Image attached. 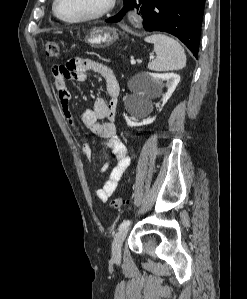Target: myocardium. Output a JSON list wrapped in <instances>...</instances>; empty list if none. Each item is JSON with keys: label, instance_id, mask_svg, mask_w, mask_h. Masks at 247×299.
Returning <instances> with one entry per match:
<instances>
[{"label": "myocardium", "instance_id": "1", "mask_svg": "<svg viewBox=\"0 0 247 299\" xmlns=\"http://www.w3.org/2000/svg\"><path fill=\"white\" fill-rule=\"evenodd\" d=\"M59 0H54L53 5H52V11L54 16L60 20L61 22L67 23V24H77V23H83V22H88V21H93L96 19H99L106 15L113 7L115 4V0H105L103 5L94 13L74 18V19H66L61 17L58 12H57V3Z\"/></svg>", "mask_w": 247, "mask_h": 299}]
</instances>
